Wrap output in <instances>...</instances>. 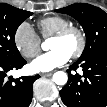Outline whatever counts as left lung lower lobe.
<instances>
[{"label":"left lung lower lobe","instance_id":"left-lung-lower-lobe-1","mask_svg":"<svg viewBox=\"0 0 107 107\" xmlns=\"http://www.w3.org/2000/svg\"><path fill=\"white\" fill-rule=\"evenodd\" d=\"M81 66L83 78L71 74ZM69 80L60 91L67 107L107 106V49H102L82 60L76 61L69 69Z\"/></svg>","mask_w":107,"mask_h":107}]
</instances>
